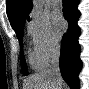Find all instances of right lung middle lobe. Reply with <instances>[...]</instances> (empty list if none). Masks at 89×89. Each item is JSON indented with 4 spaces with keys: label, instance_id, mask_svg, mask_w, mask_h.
Masks as SVG:
<instances>
[{
    "label": "right lung middle lobe",
    "instance_id": "obj_1",
    "mask_svg": "<svg viewBox=\"0 0 89 89\" xmlns=\"http://www.w3.org/2000/svg\"><path fill=\"white\" fill-rule=\"evenodd\" d=\"M25 21L21 22L14 30L16 32V36L21 45L20 50V59H21V67L24 75H28L27 65L24 58L23 47H22V39H23V30H24Z\"/></svg>",
    "mask_w": 89,
    "mask_h": 89
}]
</instances>
